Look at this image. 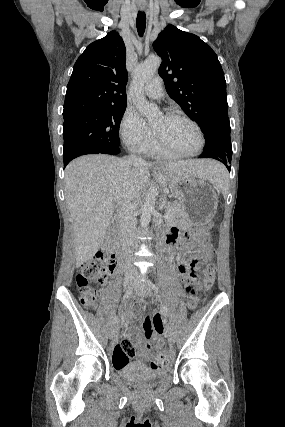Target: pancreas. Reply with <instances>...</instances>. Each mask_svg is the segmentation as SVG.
I'll use <instances>...</instances> for the list:
<instances>
[{
    "label": "pancreas",
    "mask_w": 285,
    "mask_h": 427,
    "mask_svg": "<svg viewBox=\"0 0 285 427\" xmlns=\"http://www.w3.org/2000/svg\"><path fill=\"white\" fill-rule=\"evenodd\" d=\"M166 214L170 215V218L165 219L168 224H179L184 220L182 211L177 205L169 204L166 207Z\"/></svg>",
    "instance_id": "1"
}]
</instances>
